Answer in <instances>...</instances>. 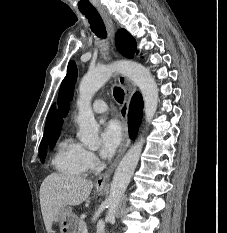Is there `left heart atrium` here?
I'll use <instances>...</instances> for the list:
<instances>
[{
	"label": "left heart atrium",
	"mask_w": 227,
	"mask_h": 233,
	"mask_svg": "<svg viewBox=\"0 0 227 233\" xmlns=\"http://www.w3.org/2000/svg\"><path fill=\"white\" fill-rule=\"evenodd\" d=\"M122 141V131L118 122L108 121L101 131L100 154L103 158L111 157Z\"/></svg>",
	"instance_id": "obj_1"
}]
</instances>
